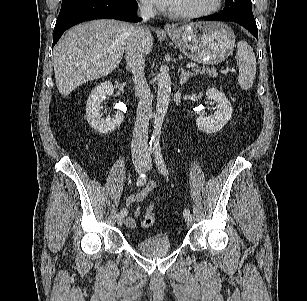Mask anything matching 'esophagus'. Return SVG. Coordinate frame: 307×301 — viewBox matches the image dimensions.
Returning <instances> with one entry per match:
<instances>
[{"instance_id":"1","label":"esophagus","mask_w":307,"mask_h":301,"mask_svg":"<svg viewBox=\"0 0 307 301\" xmlns=\"http://www.w3.org/2000/svg\"><path fill=\"white\" fill-rule=\"evenodd\" d=\"M174 29V27L172 26V25H170V24H166L165 25V30L166 31H171V30H173Z\"/></svg>"}]
</instances>
